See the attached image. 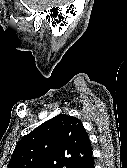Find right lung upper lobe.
Returning <instances> with one entry per match:
<instances>
[{"label": "right lung upper lobe", "instance_id": "obj_1", "mask_svg": "<svg viewBox=\"0 0 127 168\" xmlns=\"http://www.w3.org/2000/svg\"><path fill=\"white\" fill-rule=\"evenodd\" d=\"M91 156V143L81 121L60 114L18 142L8 168H75Z\"/></svg>", "mask_w": 127, "mask_h": 168}]
</instances>
